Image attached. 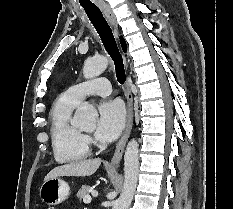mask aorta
<instances>
[{
    "label": "aorta",
    "mask_w": 233,
    "mask_h": 209,
    "mask_svg": "<svg viewBox=\"0 0 233 209\" xmlns=\"http://www.w3.org/2000/svg\"><path fill=\"white\" fill-rule=\"evenodd\" d=\"M108 66L105 57L87 59L83 66L86 79L99 76ZM96 109L85 102L75 112L72 124L84 130H92L97 119ZM138 142L132 139L128 142L124 155V185L120 197L115 201L112 209H129L138 182L139 159Z\"/></svg>",
    "instance_id": "1"
}]
</instances>
